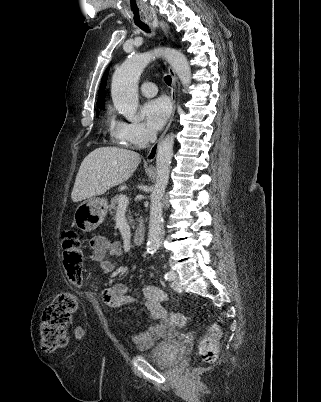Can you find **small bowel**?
Listing matches in <instances>:
<instances>
[{
	"mask_svg": "<svg viewBox=\"0 0 321 402\" xmlns=\"http://www.w3.org/2000/svg\"><path fill=\"white\" fill-rule=\"evenodd\" d=\"M90 246L99 270L103 273H110L114 265L107 256H121L122 244L119 241H110L106 236L99 234L90 239ZM141 293L142 301L138 302L129 295L126 285L114 284L103 289L101 295L104 304L110 308H121L138 302L153 319L158 321L145 332L132 336L133 343L139 349H147L163 338L174 336L177 323L174 320L175 314L165 306L167 296L159 286L146 285L142 287Z\"/></svg>",
	"mask_w": 321,
	"mask_h": 402,
	"instance_id": "1",
	"label": "small bowel"
}]
</instances>
